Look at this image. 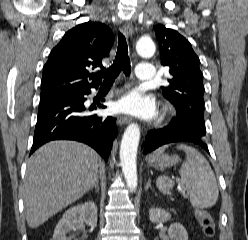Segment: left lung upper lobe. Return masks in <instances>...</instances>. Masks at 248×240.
Returning <instances> with one entry per match:
<instances>
[{
	"instance_id": "1",
	"label": "left lung upper lobe",
	"mask_w": 248,
	"mask_h": 240,
	"mask_svg": "<svg viewBox=\"0 0 248 240\" xmlns=\"http://www.w3.org/2000/svg\"><path fill=\"white\" fill-rule=\"evenodd\" d=\"M160 46L161 64L170 67L167 87L163 96L176 108L177 117L172 124L190 125L206 134L204 121V86L200 60L189 41L176 30L162 24L154 26Z\"/></svg>"
}]
</instances>
